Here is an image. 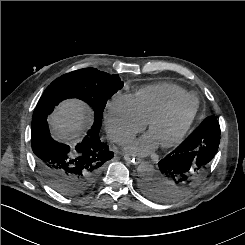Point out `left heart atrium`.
<instances>
[{"instance_id":"1","label":"left heart atrium","mask_w":245,"mask_h":245,"mask_svg":"<svg viewBox=\"0 0 245 245\" xmlns=\"http://www.w3.org/2000/svg\"><path fill=\"white\" fill-rule=\"evenodd\" d=\"M157 144L158 143L154 137L151 134H147L129 143L126 147V151L132 155L144 156L154 150Z\"/></svg>"}]
</instances>
